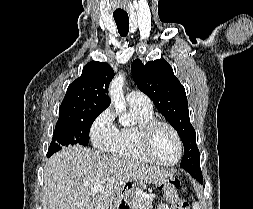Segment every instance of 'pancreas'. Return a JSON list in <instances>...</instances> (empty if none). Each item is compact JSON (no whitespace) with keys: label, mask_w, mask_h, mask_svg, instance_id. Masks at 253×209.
<instances>
[{"label":"pancreas","mask_w":253,"mask_h":209,"mask_svg":"<svg viewBox=\"0 0 253 209\" xmlns=\"http://www.w3.org/2000/svg\"><path fill=\"white\" fill-rule=\"evenodd\" d=\"M153 199V196H137L132 199V209H152Z\"/></svg>","instance_id":"pancreas-1"}]
</instances>
